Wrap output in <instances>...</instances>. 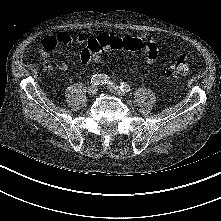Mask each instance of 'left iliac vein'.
<instances>
[{"label": "left iliac vein", "instance_id": "4c4485c4", "mask_svg": "<svg viewBox=\"0 0 221 221\" xmlns=\"http://www.w3.org/2000/svg\"><path fill=\"white\" fill-rule=\"evenodd\" d=\"M107 89L112 94H115V95H118V96H124V93L122 92L120 87H118L117 85H108Z\"/></svg>", "mask_w": 221, "mask_h": 221}]
</instances>
